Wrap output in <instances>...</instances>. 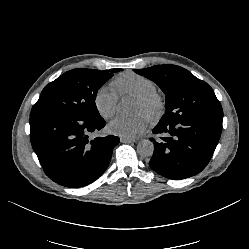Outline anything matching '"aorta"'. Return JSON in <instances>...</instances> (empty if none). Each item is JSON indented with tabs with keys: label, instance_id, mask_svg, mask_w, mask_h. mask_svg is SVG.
Segmentation results:
<instances>
[{
	"label": "aorta",
	"instance_id": "aorta-1",
	"mask_svg": "<svg viewBox=\"0 0 249 249\" xmlns=\"http://www.w3.org/2000/svg\"><path fill=\"white\" fill-rule=\"evenodd\" d=\"M119 107L122 112L128 111V104L126 102H120ZM137 152L142 157H150L154 152V144L150 140H141L137 145Z\"/></svg>",
	"mask_w": 249,
	"mask_h": 249
}]
</instances>
